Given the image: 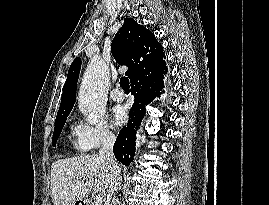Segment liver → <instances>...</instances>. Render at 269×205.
I'll use <instances>...</instances> for the list:
<instances>
[{
  "mask_svg": "<svg viewBox=\"0 0 269 205\" xmlns=\"http://www.w3.org/2000/svg\"><path fill=\"white\" fill-rule=\"evenodd\" d=\"M111 181L109 164L97 154L58 159L51 166L53 205H73L91 190L103 193Z\"/></svg>",
  "mask_w": 269,
  "mask_h": 205,
  "instance_id": "obj_1",
  "label": "liver"
}]
</instances>
